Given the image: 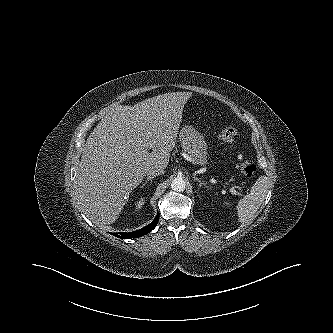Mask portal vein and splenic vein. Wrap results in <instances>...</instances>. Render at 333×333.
<instances>
[{"label":"portal vein and splenic vein","instance_id":"obj_1","mask_svg":"<svg viewBox=\"0 0 333 333\" xmlns=\"http://www.w3.org/2000/svg\"><path fill=\"white\" fill-rule=\"evenodd\" d=\"M229 191H230L232 194L237 195V192H236V190H235L233 187H230V188H229Z\"/></svg>","mask_w":333,"mask_h":333}]
</instances>
